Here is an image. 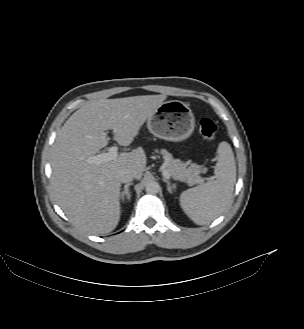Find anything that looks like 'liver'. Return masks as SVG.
I'll list each match as a JSON object with an SVG mask.
<instances>
[{"label":"liver","mask_w":304,"mask_h":329,"mask_svg":"<svg viewBox=\"0 0 304 329\" xmlns=\"http://www.w3.org/2000/svg\"><path fill=\"white\" fill-rule=\"evenodd\" d=\"M166 98L162 94L91 101L58 131L52 149L51 184L58 205L74 226L93 235L115 229L121 214L118 173L128 169L141 179L147 163L144 150L122 152L99 165L86 159L108 145L105 131L109 129L119 145H130Z\"/></svg>","instance_id":"1"}]
</instances>
